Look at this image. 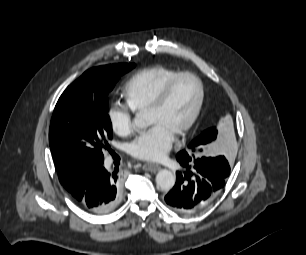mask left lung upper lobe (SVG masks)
I'll list each match as a JSON object with an SVG mask.
<instances>
[{
  "label": "left lung upper lobe",
  "mask_w": 306,
  "mask_h": 255,
  "mask_svg": "<svg viewBox=\"0 0 306 255\" xmlns=\"http://www.w3.org/2000/svg\"><path fill=\"white\" fill-rule=\"evenodd\" d=\"M217 135V131L215 127H211L207 130H205L200 136H198L196 139H194L189 145L187 150L185 151L190 157L193 159H196L200 154H196V152H201L203 151V148L207 146L210 142H212ZM197 161H201L207 165H211L215 168L218 169H223L225 171H230V166L225 159L224 156H218V157H202V158H197Z\"/></svg>",
  "instance_id": "5c2ea615"
}]
</instances>
